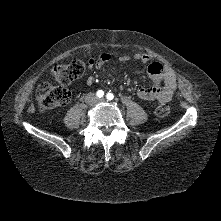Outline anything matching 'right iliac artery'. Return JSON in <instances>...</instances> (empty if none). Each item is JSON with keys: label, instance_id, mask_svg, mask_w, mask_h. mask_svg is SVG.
Returning a JSON list of instances; mask_svg holds the SVG:
<instances>
[{"label": "right iliac artery", "instance_id": "right-iliac-artery-1", "mask_svg": "<svg viewBox=\"0 0 221 221\" xmlns=\"http://www.w3.org/2000/svg\"><path fill=\"white\" fill-rule=\"evenodd\" d=\"M96 95L97 97L102 98L104 96V92L102 90H98Z\"/></svg>", "mask_w": 221, "mask_h": 221}]
</instances>
